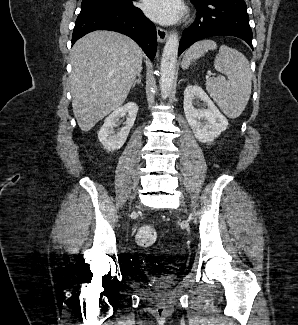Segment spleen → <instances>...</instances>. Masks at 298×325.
Returning a JSON list of instances; mask_svg holds the SVG:
<instances>
[{"label":"spleen","mask_w":298,"mask_h":325,"mask_svg":"<svg viewBox=\"0 0 298 325\" xmlns=\"http://www.w3.org/2000/svg\"><path fill=\"white\" fill-rule=\"evenodd\" d=\"M215 40H198L184 54L183 68H187L192 58L204 56L208 50H215ZM216 70L226 76H211L206 80V90L220 110L229 116L237 118L242 114L251 94L252 72L248 58L226 44H221L214 60Z\"/></svg>","instance_id":"spleen-1"}]
</instances>
